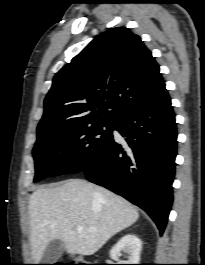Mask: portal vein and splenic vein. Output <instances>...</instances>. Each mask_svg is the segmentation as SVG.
Returning <instances> with one entry per match:
<instances>
[{
    "instance_id": "portal-vein-and-splenic-vein-1",
    "label": "portal vein and splenic vein",
    "mask_w": 205,
    "mask_h": 265,
    "mask_svg": "<svg viewBox=\"0 0 205 265\" xmlns=\"http://www.w3.org/2000/svg\"><path fill=\"white\" fill-rule=\"evenodd\" d=\"M83 230H84V228H83L82 226H78V227H77V231H78V232H83Z\"/></svg>"
}]
</instances>
